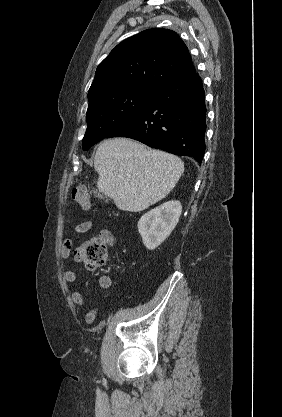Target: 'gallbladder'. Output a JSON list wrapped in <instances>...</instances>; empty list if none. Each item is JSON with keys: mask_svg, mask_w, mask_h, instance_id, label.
Instances as JSON below:
<instances>
[{"mask_svg": "<svg viewBox=\"0 0 282 417\" xmlns=\"http://www.w3.org/2000/svg\"><path fill=\"white\" fill-rule=\"evenodd\" d=\"M95 196H98V198H107L103 192H99V190H93Z\"/></svg>", "mask_w": 282, "mask_h": 417, "instance_id": "gallbladder-1", "label": "gallbladder"}]
</instances>
